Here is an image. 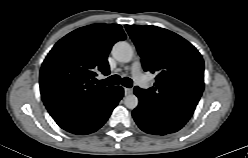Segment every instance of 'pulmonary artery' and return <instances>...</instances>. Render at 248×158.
Wrapping results in <instances>:
<instances>
[{"instance_id":"pulmonary-artery-1","label":"pulmonary artery","mask_w":248,"mask_h":158,"mask_svg":"<svg viewBox=\"0 0 248 158\" xmlns=\"http://www.w3.org/2000/svg\"><path fill=\"white\" fill-rule=\"evenodd\" d=\"M132 75L137 84H139L143 88L149 87L148 79L142 74L141 63L137 59L132 65Z\"/></svg>"}]
</instances>
